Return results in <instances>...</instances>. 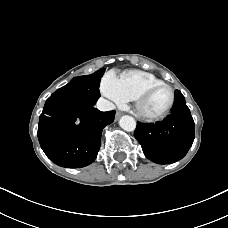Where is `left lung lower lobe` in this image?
I'll use <instances>...</instances> for the list:
<instances>
[{
	"label": "left lung lower lobe",
	"mask_w": 228,
	"mask_h": 228,
	"mask_svg": "<svg viewBox=\"0 0 228 228\" xmlns=\"http://www.w3.org/2000/svg\"><path fill=\"white\" fill-rule=\"evenodd\" d=\"M172 113L156 124L137 123L134 136L145 156L158 164L174 163L182 159L194 141V121L185 98L175 91Z\"/></svg>",
	"instance_id": "0a47b994"
}]
</instances>
